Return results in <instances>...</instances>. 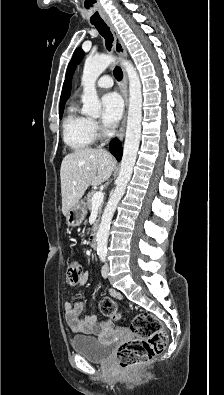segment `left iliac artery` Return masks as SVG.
Segmentation results:
<instances>
[{"label": "left iliac artery", "mask_w": 224, "mask_h": 395, "mask_svg": "<svg viewBox=\"0 0 224 395\" xmlns=\"http://www.w3.org/2000/svg\"><path fill=\"white\" fill-rule=\"evenodd\" d=\"M97 253H98L101 261L104 262L106 260L107 251L106 250H100Z\"/></svg>", "instance_id": "obj_1"}]
</instances>
